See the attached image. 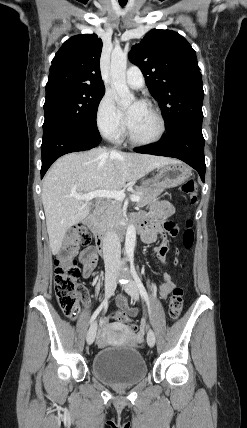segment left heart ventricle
Wrapping results in <instances>:
<instances>
[{"mask_svg":"<svg viewBox=\"0 0 247 428\" xmlns=\"http://www.w3.org/2000/svg\"><path fill=\"white\" fill-rule=\"evenodd\" d=\"M134 104L127 108L129 111ZM132 134L139 139H150L154 137L159 129V123L154 113L142 105L133 120L128 125Z\"/></svg>","mask_w":247,"mask_h":428,"instance_id":"obj_1","label":"left heart ventricle"}]
</instances>
